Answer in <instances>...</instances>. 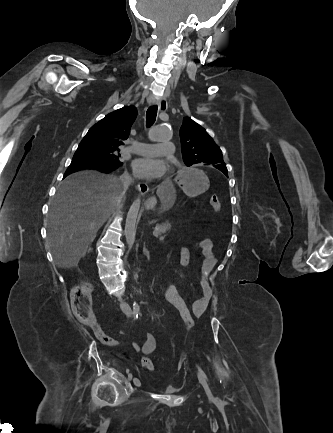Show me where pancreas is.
<instances>
[{
	"label": "pancreas",
	"mask_w": 333,
	"mask_h": 433,
	"mask_svg": "<svg viewBox=\"0 0 333 433\" xmlns=\"http://www.w3.org/2000/svg\"><path fill=\"white\" fill-rule=\"evenodd\" d=\"M171 230V223L166 221L162 224H157L155 226V232L157 233V236L159 237H165L168 232Z\"/></svg>",
	"instance_id": "obj_1"
}]
</instances>
